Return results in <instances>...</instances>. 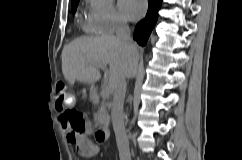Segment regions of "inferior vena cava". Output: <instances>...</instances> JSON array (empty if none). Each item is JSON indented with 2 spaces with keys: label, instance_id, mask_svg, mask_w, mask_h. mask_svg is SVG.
<instances>
[{
  "label": "inferior vena cava",
  "instance_id": "1",
  "mask_svg": "<svg viewBox=\"0 0 242 160\" xmlns=\"http://www.w3.org/2000/svg\"><path fill=\"white\" fill-rule=\"evenodd\" d=\"M118 41L126 48L124 61L116 75V85L113 91L111 116L113 129L116 136L120 160H131L129 141L124 126L123 105L127 88V81H132L135 73H139L137 63V47L133 44L129 26L126 23H119L116 28Z\"/></svg>",
  "mask_w": 242,
  "mask_h": 160
}]
</instances>
